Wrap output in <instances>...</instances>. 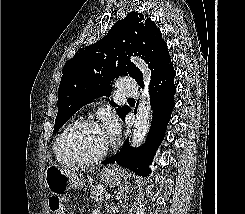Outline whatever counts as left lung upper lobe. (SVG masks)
Returning a JSON list of instances; mask_svg holds the SVG:
<instances>
[{
  "label": "left lung upper lobe",
  "mask_w": 245,
  "mask_h": 214,
  "mask_svg": "<svg viewBox=\"0 0 245 214\" xmlns=\"http://www.w3.org/2000/svg\"><path fill=\"white\" fill-rule=\"evenodd\" d=\"M133 54L148 64L151 83L173 65L161 31L150 18L137 12L118 20L103 39L80 48L66 62L59 86L53 134L89 100L109 97L111 81L116 77L129 75L143 87L141 71L129 60ZM110 105L116 106L113 101ZM128 109V106L117 108L120 118L124 119Z\"/></svg>",
  "instance_id": "left-lung-upper-lobe-1"
}]
</instances>
